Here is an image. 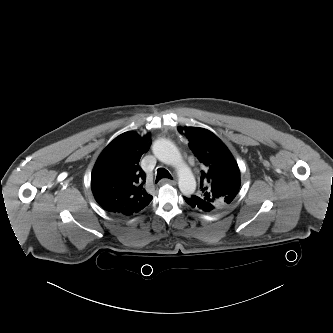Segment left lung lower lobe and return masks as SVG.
I'll return each mask as SVG.
<instances>
[{
	"mask_svg": "<svg viewBox=\"0 0 333 333\" xmlns=\"http://www.w3.org/2000/svg\"><path fill=\"white\" fill-rule=\"evenodd\" d=\"M184 199L189 206L197 210H201L204 212H212L216 210L215 206L212 203L205 201L195 195L191 197H184Z\"/></svg>",
	"mask_w": 333,
	"mask_h": 333,
	"instance_id": "left-lung-lower-lobe-1",
	"label": "left lung lower lobe"
}]
</instances>
